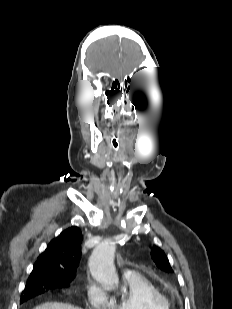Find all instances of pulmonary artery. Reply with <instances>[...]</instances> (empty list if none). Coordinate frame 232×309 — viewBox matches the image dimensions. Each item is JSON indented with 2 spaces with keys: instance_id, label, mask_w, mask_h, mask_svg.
<instances>
[{
  "instance_id": "1",
  "label": "pulmonary artery",
  "mask_w": 232,
  "mask_h": 309,
  "mask_svg": "<svg viewBox=\"0 0 232 309\" xmlns=\"http://www.w3.org/2000/svg\"><path fill=\"white\" fill-rule=\"evenodd\" d=\"M131 272H133V271L129 270V269L124 270V274L131 273Z\"/></svg>"
}]
</instances>
